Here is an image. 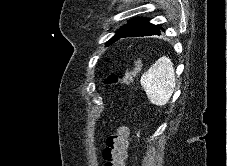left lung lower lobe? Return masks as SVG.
Returning a JSON list of instances; mask_svg holds the SVG:
<instances>
[{
	"mask_svg": "<svg viewBox=\"0 0 227 166\" xmlns=\"http://www.w3.org/2000/svg\"><path fill=\"white\" fill-rule=\"evenodd\" d=\"M151 35H160V28L157 25L149 23V20L146 18H139L135 19L128 29L117 34L110 44H112L113 42L117 41L120 38Z\"/></svg>",
	"mask_w": 227,
	"mask_h": 166,
	"instance_id": "0a47b994",
	"label": "left lung lower lobe"
}]
</instances>
